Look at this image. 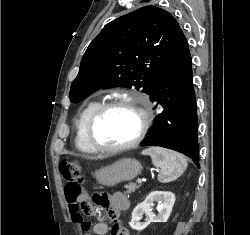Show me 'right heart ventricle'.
Here are the masks:
<instances>
[{"label":"right heart ventricle","mask_w":250,"mask_h":235,"mask_svg":"<svg viewBox=\"0 0 250 235\" xmlns=\"http://www.w3.org/2000/svg\"><path fill=\"white\" fill-rule=\"evenodd\" d=\"M101 103L99 99H92L85 103L75 121V147L79 152L86 155H94L97 153V151L89 145L85 136V129L90 116Z\"/></svg>","instance_id":"obj_1"}]
</instances>
